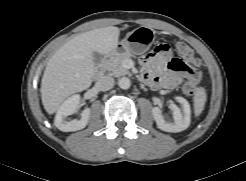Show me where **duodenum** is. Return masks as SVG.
Here are the masks:
<instances>
[{
    "instance_id": "duodenum-1",
    "label": "duodenum",
    "mask_w": 246,
    "mask_h": 181,
    "mask_svg": "<svg viewBox=\"0 0 246 181\" xmlns=\"http://www.w3.org/2000/svg\"><path fill=\"white\" fill-rule=\"evenodd\" d=\"M120 49H121L120 46H117V47H116V51H119ZM113 54H114V52L111 51V52L107 53V54L104 56L102 65H101L100 68L96 71V73H95V75H94V77H95L96 79H98V78H100V77L102 76L103 70H104V66H105V65L107 64V62L111 59V57L113 56Z\"/></svg>"
}]
</instances>
